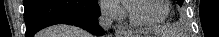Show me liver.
<instances>
[{
  "instance_id": "obj_1",
  "label": "liver",
  "mask_w": 219,
  "mask_h": 37,
  "mask_svg": "<svg viewBox=\"0 0 219 37\" xmlns=\"http://www.w3.org/2000/svg\"><path fill=\"white\" fill-rule=\"evenodd\" d=\"M40 37H91L86 31L66 25H57L40 32Z\"/></svg>"
}]
</instances>
